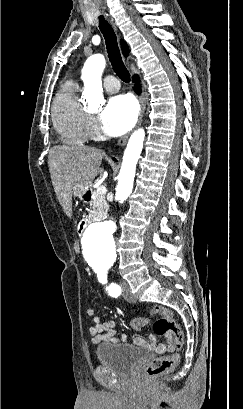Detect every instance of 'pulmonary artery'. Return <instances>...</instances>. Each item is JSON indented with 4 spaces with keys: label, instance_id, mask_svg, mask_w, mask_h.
<instances>
[{
    "label": "pulmonary artery",
    "instance_id": "e3ab8cb5",
    "mask_svg": "<svg viewBox=\"0 0 243 409\" xmlns=\"http://www.w3.org/2000/svg\"><path fill=\"white\" fill-rule=\"evenodd\" d=\"M119 82L118 80L112 76L109 75L107 77H105L104 79V88L107 92L113 93L119 90Z\"/></svg>",
    "mask_w": 243,
    "mask_h": 409
}]
</instances>
